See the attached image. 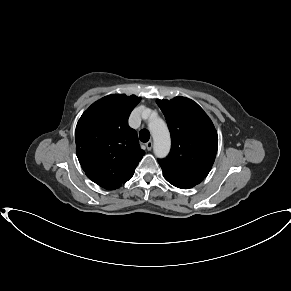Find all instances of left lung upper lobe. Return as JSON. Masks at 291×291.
<instances>
[{"mask_svg": "<svg viewBox=\"0 0 291 291\" xmlns=\"http://www.w3.org/2000/svg\"><path fill=\"white\" fill-rule=\"evenodd\" d=\"M156 102L171 134L170 153L158 160L164 177L185 187H194L203 181L214 163L218 148L216 129L191 99L175 97Z\"/></svg>", "mask_w": 291, "mask_h": 291, "instance_id": "obj_1", "label": "left lung upper lobe"}]
</instances>
